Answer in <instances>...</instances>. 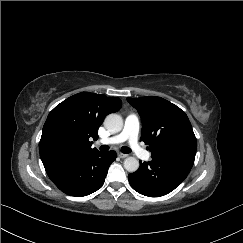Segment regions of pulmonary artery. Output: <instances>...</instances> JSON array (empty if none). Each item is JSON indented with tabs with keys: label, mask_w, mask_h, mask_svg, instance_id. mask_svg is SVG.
<instances>
[{
	"label": "pulmonary artery",
	"mask_w": 243,
	"mask_h": 243,
	"mask_svg": "<svg viewBox=\"0 0 243 243\" xmlns=\"http://www.w3.org/2000/svg\"><path fill=\"white\" fill-rule=\"evenodd\" d=\"M139 130L140 121L138 116L136 114H129L125 119L123 130L119 134L101 139L99 140V143L118 145L127 141L135 155L144 161H149L151 158V153L141 147L138 139Z\"/></svg>",
	"instance_id": "1"
}]
</instances>
